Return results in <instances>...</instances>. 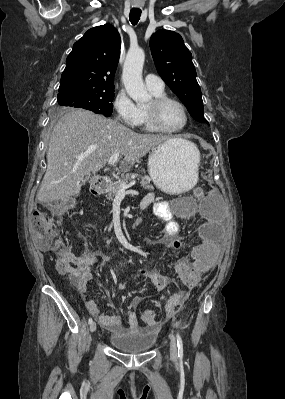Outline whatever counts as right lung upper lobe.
Returning <instances> with one entry per match:
<instances>
[{
	"mask_svg": "<svg viewBox=\"0 0 285 399\" xmlns=\"http://www.w3.org/2000/svg\"><path fill=\"white\" fill-rule=\"evenodd\" d=\"M121 39L110 24L89 29L74 43L66 59L59 93L75 90L114 89Z\"/></svg>",
	"mask_w": 285,
	"mask_h": 399,
	"instance_id": "1",
	"label": "right lung upper lobe"
}]
</instances>
